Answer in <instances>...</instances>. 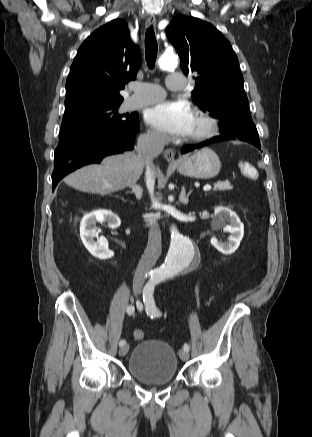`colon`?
Returning a JSON list of instances; mask_svg holds the SVG:
<instances>
[{
	"label": "colon",
	"instance_id": "colon-1",
	"mask_svg": "<svg viewBox=\"0 0 312 437\" xmlns=\"http://www.w3.org/2000/svg\"><path fill=\"white\" fill-rule=\"evenodd\" d=\"M133 336L135 340L142 341L145 338V333L142 330H135Z\"/></svg>",
	"mask_w": 312,
	"mask_h": 437
}]
</instances>
